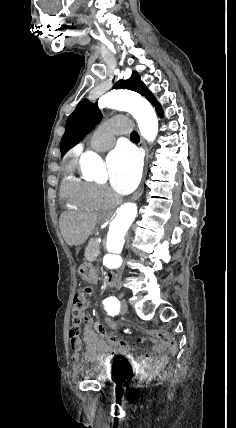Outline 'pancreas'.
Segmentation results:
<instances>
[{
  "label": "pancreas",
  "instance_id": "cf45deb5",
  "mask_svg": "<svg viewBox=\"0 0 236 428\" xmlns=\"http://www.w3.org/2000/svg\"><path fill=\"white\" fill-rule=\"evenodd\" d=\"M100 250V244L98 238H91L88 246L85 248V260L88 262H94L96 260Z\"/></svg>",
  "mask_w": 236,
  "mask_h": 428
}]
</instances>
